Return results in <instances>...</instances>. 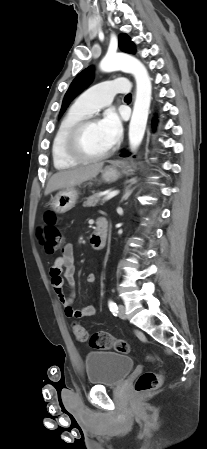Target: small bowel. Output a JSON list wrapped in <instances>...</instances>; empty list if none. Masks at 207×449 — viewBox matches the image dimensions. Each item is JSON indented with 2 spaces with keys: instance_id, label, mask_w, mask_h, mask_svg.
I'll list each match as a JSON object with an SVG mask.
<instances>
[{
  "instance_id": "obj_1",
  "label": "small bowel",
  "mask_w": 207,
  "mask_h": 449,
  "mask_svg": "<svg viewBox=\"0 0 207 449\" xmlns=\"http://www.w3.org/2000/svg\"><path fill=\"white\" fill-rule=\"evenodd\" d=\"M75 263H74V247L71 243H67L60 256H58L51 266V283L54 292L64 308V312L68 317L81 319L84 317L93 316L96 313V307L94 304H90L82 309L76 310L73 308V302L75 298V292L69 295L64 291V279L68 285L73 289L75 286ZM87 282L93 284L95 282V275L89 273L87 275Z\"/></svg>"
}]
</instances>
